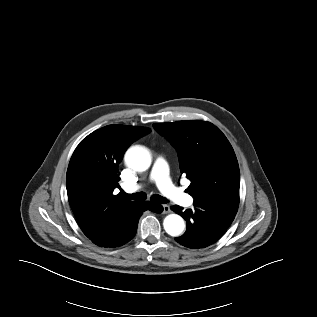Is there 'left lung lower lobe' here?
Returning <instances> with one entry per match:
<instances>
[{"instance_id":"1","label":"left lung lower lobe","mask_w":317,"mask_h":317,"mask_svg":"<svg viewBox=\"0 0 317 317\" xmlns=\"http://www.w3.org/2000/svg\"><path fill=\"white\" fill-rule=\"evenodd\" d=\"M194 206V210L186 211L177 205L172 207L187 223L186 232L175 240L192 249L206 248L219 240L238 210L236 206L203 201H194Z\"/></svg>"}]
</instances>
